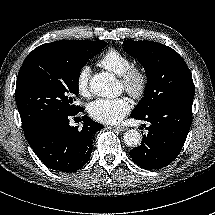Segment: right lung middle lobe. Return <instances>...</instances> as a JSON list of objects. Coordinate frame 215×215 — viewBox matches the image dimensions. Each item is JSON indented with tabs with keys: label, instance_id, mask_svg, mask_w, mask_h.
<instances>
[{
	"label": "right lung middle lobe",
	"instance_id": "obj_1",
	"mask_svg": "<svg viewBox=\"0 0 215 215\" xmlns=\"http://www.w3.org/2000/svg\"><path fill=\"white\" fill-rule=\"evenodd\" d=\"M106 45L103 40L70 45L17 78L15 99L23 129L49 116L80 111L72 105V95L79 93L80 70Z\"/></svg>",
	"mask_w": 215,
	"mask_h": 215
}]
</instances>
